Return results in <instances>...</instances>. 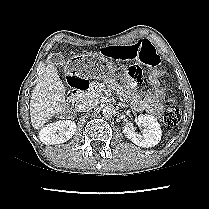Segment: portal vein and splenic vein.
<instances>
[{"label":"portal vein and splenic vein","instance_id":"18ae733b","mask_svg":"<svg viewBox=\"0 0 209 209\" xmlns=\"http://www.w3.org/2000/svg\"><path fill=\"white\" fill-rule=\"evenodd\" d=\"M101 88H102L101 90L105 89L104 86H101Z\"/></svg>","mask_w":209,"mask_h":209}]
</instances>
